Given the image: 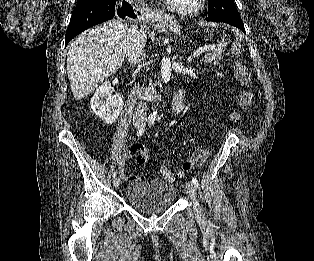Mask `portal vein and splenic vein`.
Wrapping results in <instances>:
<instances>
[{"label": "portal vein and splenic vein", "instance_id": "obj_1", "mask_svg": "<svg viewBox=\"0 0 314 261\" xmlns=\"http://www.w3.org/2000/svg\"><path fill=\"white\" fill-rule=\"evenodd\" d=\"M215 48V45H208V46H204L198 50H196L193 54V57H198L200 56L203 52L208 51V50H212Z\"/></svg>", "mask_w": 314, "mask_h": 261}]
</instances>
